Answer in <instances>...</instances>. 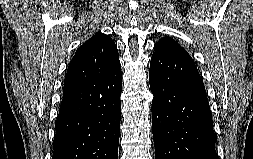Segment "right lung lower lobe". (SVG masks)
Returning <instances> with one entry per match:
<instances>
[{
  "label": "right lung lower lobe",
  "mask_w": 253,
  "mask_h": 159,
  "mask_svg": "<svg viewBox=\"0 0 253 159\" xmlns=\"http://www.w3.org/2000/svg\"><path fill=\"white\" fill-rule=\"evenodd\" d=\"M121 65L63 95L52 159H118Z\"/></svg>",
  "instance_id": "obj_1"
}]
</instances>
